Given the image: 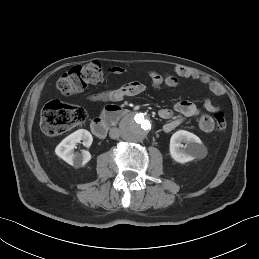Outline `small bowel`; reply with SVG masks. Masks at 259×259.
<instances>
[{"instance_id": "obj_1", "label": "small bowel", "mask_w": 259, "mask_h": 259, "mask_svg": "<svg viewBox=\"0 0 259 259\" xmlns=\"http://www.w3.org/2000/svg\"><path fill=\"white\" fill-rule=\"evenodd\" d=\"M111 72L117 75H122L126 73V70L122 67L115 66L111 69ZM151 85L153 88H174L179 83V78H187L197 80L203 84L208 85L210 90L216 95H222L224 93L223 86L217 81L211 79L209 76L199 73L189 67L176 66L171 74L162 75L158 72L151 71L148 73ZM145 90V85L139 81H130L122 84L121 86L100 91L92 94L89 97L91 102H119L126 97L134 96L142 93ZM204 108L208 112H214L218 109V106L213 104L210 100H204ZM176 112L179 117L173 118L174 112ZM159 116L162 119L168 120L164 125V131L170 132L175 129L179 124H181L185 119L200 116L199 127L205 133H210L214 130L213 119L202 112V109L195 103L188 100H181L175 103L173 110L161 109L159 111Z\"/></svg>"}]
</instances>
